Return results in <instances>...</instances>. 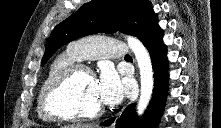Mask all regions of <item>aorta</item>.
<instances>
[{"label": "aorta", "mask_w": 221, "mask_h": 128, "mask_svg": "<svg viewBox=\"0 0 221 128\" xmlns=\"http://www.w3.org/2000/svg\"><path fill=\"white\" fill-rule=\"evenodd\" d=\"M129 48L133 51L140 70V98L137 105V114L140 116L147 108L153 92V69L150 55L144 45L136 37L127 36Z\"/></svg>", "instance_id": "obj_1"}]
</instances>
